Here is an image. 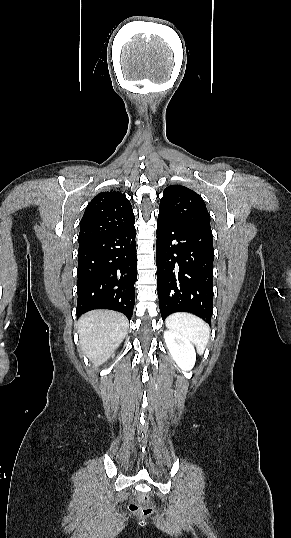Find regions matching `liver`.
<instances>
[{
	"instance_id": "1",
	"label": "liver",
	"mask_w": 291,
	"mask_h": 538,
	"mask_svg": "<svg viewBox=\"0 0 291 538\" xmlns=\"http://www.w3.org/2000/svg\"><path fill=\"white\" fill-rule=\"evenodd\" d=\"M129 322L118 312L93 310L78 321L79 344L95 366L103 363L128 333Z\"/></svg>"
}]
</instances>
